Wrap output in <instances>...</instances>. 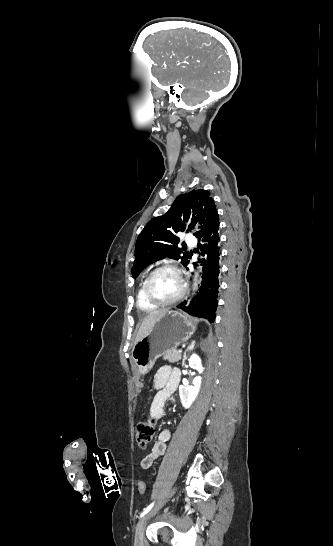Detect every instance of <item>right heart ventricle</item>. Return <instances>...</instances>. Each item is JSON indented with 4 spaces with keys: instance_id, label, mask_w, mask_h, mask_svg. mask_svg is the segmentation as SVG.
I'll return each instance as SVG.
<instances>
[{
    "instance_id": "right-heart-ventricle-1",
    "label": "right heart ventricle",
    "mask_w": 333,
    "mask_h": 546,
    "mask_svg": "<svg viewBox=\"0 0 333 546\" xmlns=\"http://www.w3.org/2000/svg\"><path fill=\"white\" fill-rule=\"evenodd\" d=\"M144 281H142V283L140 284L139 286V289H138V292H137V306L140 310L144 311V312H152V311H155L158 306L150 303L145 295H144V290H143V286H144Z\"/></svg>"
}]
</instances>
